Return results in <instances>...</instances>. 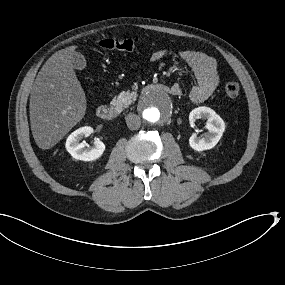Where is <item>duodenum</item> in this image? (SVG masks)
Returning a JSON list of instances; mask_svg holds the SVG:
<instances>
[{"mask_svg":"<svg viewBox=\"0 0 285 285\" xmlns=\"http://www.w3.org/2000/svg\"><path fill=\"white\" fill-rule=\"evenodd\" d=\"M157 90L163 93L173 94L171 87L162 83H152L142 89V93ZM97 116L103 121L113 120L117 116V111L110 105H101L97 108Z\"/></svg>","mask_w":285,"mask_h":285,"instance_id":"obj_1","label":"duodenum"}]
</instances>
